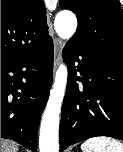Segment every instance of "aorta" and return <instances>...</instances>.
<instances>
[{
    "label": "aorta",
    "instance_id": "1",
    "mask_svg": "<svg viewBox=\"0 0 123 152\" xmlns=\"http://www.w3.org/2000/svg\"><path fill=\"white\" fill-rule=\"evenodd\" d=\"M55 30L64 40L70 39L76 31L77 19L70 11H61L55 18ZM67 67L61 64L56 71L49 100L42 116L39 149L40 152H58L59 150V122L62 101L67 85Z\"/></svg>",
    "mask_w": 123,
    "mask_h": 152
}]
</instances>
